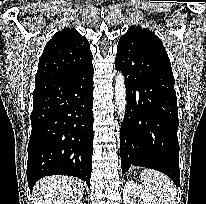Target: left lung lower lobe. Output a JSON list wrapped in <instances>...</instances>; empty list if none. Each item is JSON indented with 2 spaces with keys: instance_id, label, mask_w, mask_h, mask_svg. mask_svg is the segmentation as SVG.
Instances as JSON below:
<instances>
[{
  "instance_id": "left-lung-lower-lobe-1",
  "label": "left lung lower lobe",
  "mask_w": 206,
  "mask_h": 204,
  "mask_svg": "<svg viewBox=\"0 0 206 204\" xmlns=\"http://www.w3.org/2000/svg\"><path fill=\"white\" fill-rule=\"evenodd\" d=\"M125 76L127 108L121 125L122 173L131 165L158 170L180 186L179 125L172 71L144 61L134 69L116 57Z\"/></svg>"
}]
</instances>
